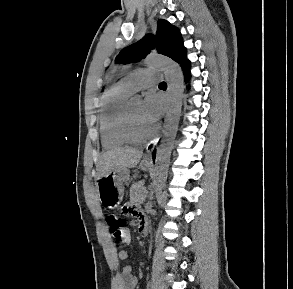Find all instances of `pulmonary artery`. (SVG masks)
Returning a JSON list of instances; mask_svg holds the SVG:
<instances>
[{"label":"pulmonary artery","instance_id":"pulmonary-artery-1","mask_svg":"<svg viewBox=\"0 0 293 289\" xmlns=\"http://www.w3.org/2000/svg\"><path fill=\"white\" fill-rule=\"evenodd\" d=\"M161 80V74L152 69L136 70L120 80V84L131 93L144 89Z\"/></svg>","mask_w":293,"mask_h":289}]
</instances>
